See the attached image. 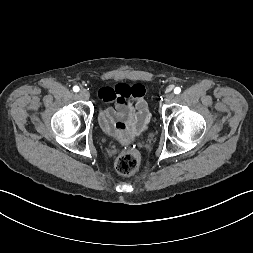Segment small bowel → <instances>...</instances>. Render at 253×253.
<instances>
[{"label":"small bowel","mask_w":253,"mask_h":253,"mask_svg":"<svg viewBox=\"0 0 253 253\" xmlns=\"http://www.w3.org/2000/svg\"><path fill=\"white\" fill-rule=\"evenodd\" d=\"M144 96L145 87L141 84H118L115 87L101 88L98 97L105 102H115V108L100 111L103 130L120 141L124 134L134 136L142 131L149 121Z\"/></svg>","instance_id":"c3829d8e"}]
</instances>
